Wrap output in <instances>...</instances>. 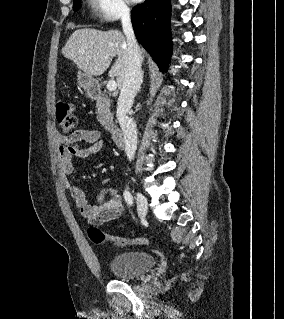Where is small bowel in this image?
I'll return each instance as SVG.
<instances>
[{"instance_id":"small-bowel-1","label":"small bowel","mask_w":284,"mask_h":319,"mask_svg":"<svg viewBox=\"0 0 284 319\" xmlns=\"http://www.w3.org/2000/svg\"><path fill=\"white\" fill-rule=\"evenodd\" d=\"M86 143L87 147H81ZM104 147L97 130L79 129L67 135L59 136L61 171L69 176L74 171L73 158H88L99 153ZM76 207L81 216L95 226L106 225L120 218L123 204L120 195L113 188L101 189L93 203H89L86 195L78 186L67 182ZM110 198L106 200V196Z\"/></svg>"}]
</instances>
